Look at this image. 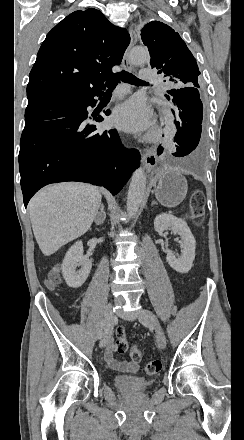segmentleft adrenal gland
<instances>
[{"label": "left adrenal gland", "instance_id": "a2214340", "mask_svg": "<svg viewBox=\"0 0 244 440\" xmlns=\"http://www.w3.org/2000/svg\"><path fill=\"white\" fill-rule=\"evenodd\" d=\"M153 204H157V202H155V200H153V202H152V206H153Z\"/></svg>", "mask_w": 244, "mask_h": 440}]
</instances>
